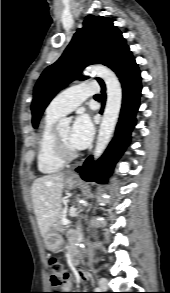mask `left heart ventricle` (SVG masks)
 Wrapping results in <instances>:
<instances>
[{
    "label": "left heart ventricle",
    "mask_w": 170,
    "mask_h": 293,
    "mask_svg": "<svg viewBox=\"0 0 170 293\" xmlns=\"http://www.w3.org/2000/svg\"><path fill=\"white\" fill-rule=\"evenodd\" d=\"M58 136L63 143V145L68 149V150H74L75 148L71 145L70 143V128L69 127H63L57 130Z\"/></svg>",
    "instance_id": "1"
}]
</instances>
